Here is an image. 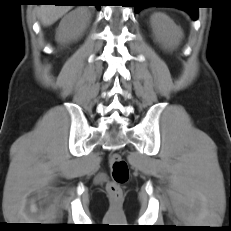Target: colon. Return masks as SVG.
<instances>
[{
	"mask_svg": "<svg viewBox=\"0 0 231 231\" xmlns=\"http://www.w3.org/2000/svg\"><path fill=\"white\" fill-rule=\"evenodd\" d=\"M108 161L112 180L107 185V191L111 197L117 199L122 194L121 186L129 179V167L127 162L116 153L111 154Z\"/></svg>",
	"mask_w": 231,
	"mask_h": 231,
	"instance_id": "obj_1",
	"label": "colon"
}]
</instances>
